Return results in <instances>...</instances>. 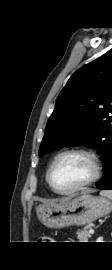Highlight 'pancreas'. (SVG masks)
<instances>
[{"mask_svg":"<svg viewBox=\"0 0 112 270\" xmlns=\"http://www.w3.org/2000/svg\"><path fill=\"white\" fill-rule=\"evenodd\" d=\"M76 234L79 242H88V239L91 237V234L86 227L79 229Z\"/></svg>","mask_w":112,"mask_h":270,"instance_id":"1","label":"pancreas"}]
</instances>
